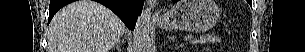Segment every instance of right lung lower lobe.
I'll return each instance as SVG.
<instances>
[{
	"instance_id": "obj_1",
	"label": "right lung lower lobe",
	"mask_w": 305,
	"mask_h": 52,
	"mask_svg": "<svg viewBox=\"0 0 305 52\" xmlns=\"http://www.w3.org/2000/svg\"><path fill=\"white\" fill-rule=\"evenodd\" d=\"M74 0H51L49 7L50 23L56 12L63 6L73 2ZM97 1L110 10H112L130 29L133 30L139 14L142 11L144 0H94Z\"/></svg>"
}]
</instances>
